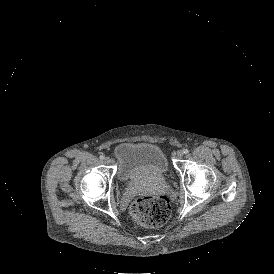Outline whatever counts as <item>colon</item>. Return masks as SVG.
Here are the masks:
<instances>
[{
    "label": "colon",
    "mask_w": 274,
    "mask_h": 274,
    "mask_svg": "<svg viewBox=\"0 0 274 274\" xmlns=\"http://www.w3.org/2000/svg\"><path fill=\"white\" fill-rule=\"evenodd\" d=\"M130 214L135 227H161L170 217L171 210L165 196L142 197L130 204Z\"/></svg>",
    "instance_id": "5ec220e1"
}]
</instances>
